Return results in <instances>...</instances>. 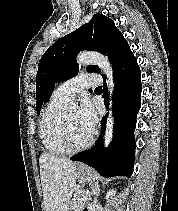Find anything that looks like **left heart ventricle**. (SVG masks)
Segmentation results:
<instances>
[{
  "label": "left heart ventricle",
  "instance_id": "left-heart-ventricle-1",
  "mask_svg": "<svg viewBox=\"0 0 178 211\" xmlns=\"http://www.w3.org/2000/svg\"><path fill=\"white\" fill-rule=\"evenodd\" d=\"M67 118L73 145L80 146L84 144L91 136V133L81 125L78 112H70Z\"/></svg>",
  "mask_w": 178,
  "mask_h": 211
}]
</instances>
